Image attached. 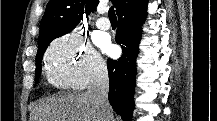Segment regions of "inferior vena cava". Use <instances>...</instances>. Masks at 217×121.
Masks as SVG:
<instances>
[{
  "label": "inferior vena cava",
  "mask_w": 217,
  "mask_h": 121,
  "mask_svg": "<svg viewBox=\"0 0 217 121\" xmlns=\"http://www.w3.org/2000/svg\"><path fill=\"white\" fill-rule=\"evenodd\" d=\"M109 77L107 67L98 64L93 71L92 78L86 92L97 105L101 121H113L112 109L108 101Z\"/></svg>",
  "instance_id": "1"
}]
</instances>
